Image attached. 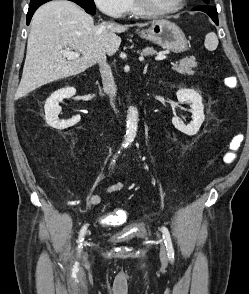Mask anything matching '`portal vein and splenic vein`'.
<instances>
[{"label": "portal vein and splenic vein", "mask_w": 249, "mask_h": 294, "mask_svg": "<svg viewBox=\"0 0 249 294\" xmlns=\"http://www.w3.org/2000/svg\"><path fill=\"white\" fill-rule=\"evenodd\" d=\"M61 53L68 60L76 59V58H78L80 56V54L78 52H73L69 48L68 49H61ZM166 58H167L166 55H158V56L155 57V60L159 61V60H164Z\"/></svg>", "instance_id": "portal-vein-and-splenic-vein-1"}]
</instances>
